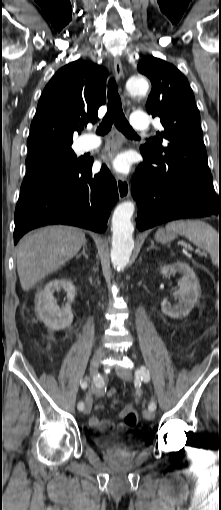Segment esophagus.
Returning a JSON list of instances; mask_svg holds the SVG:
<instances>
[{"label": "esophagus", "mask_w": 221, "mask_h": 510, "mask_svg": "<svg viewBox=\"0 0 221 510\" xmlns=\"http://www.w3.org/2000/svg\"><path fill=\"white\" fill-rule=\"evenodd\" d=\"M114 71H115L117 78L119 80H121L123 77V68H122V64H121V61L119 58L114 59ZM122 98L124 101L123 95H122ZM113 156H114L113 148L111 146H109L106 149L107 161L111 162L113 159ZM116 182H117V188H118V194H119L120 200L127 199L130 195V185H129L128 179L121 174H116Z\"/></svg>", "instance_id": "obj_1"}]
</instances>
